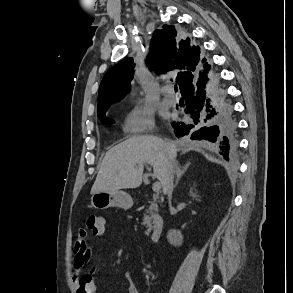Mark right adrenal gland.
Segmentation results:
<instances>
[{"label":"right adrenal gland","instance_id":"1","mask_svg":"<svg viewBox=\"0 0 293 293\" xmlns=\"http://www.w3.org/2000/svg\"><path fill=\"white\" fill-rule=\"evenodd\" d=\"M191 163H188L186 164L183 168H181V166L178 164V162H176L174 164V167H175V174L177 176V179H176V182H175V185H174V188L177 186L181 176L186 172L187 168L189 167Z\"/></svg>","mask_w":293,"mask_h":293}]
</instances>
